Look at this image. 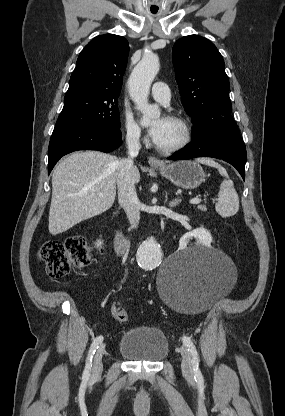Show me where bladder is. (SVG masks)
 Returning a JSON list of instances; mask_svg holds the SVG:
<instances>
[{
	"label": "bladder",
	"mask_w": 285,
	"mask_h": 416,
	"mask_svg": "<svg viewBox=\"0 0 285 416\" xmlns=\"http://www.w3.org/2000/svg\"><path fill=\"white\" fill-rule=\"evenodd\" d=\"M118 352L130 361L156 362L168 354V340L160 329L141 325L123 333Z\"/></svg>",
	"instance_id": "1"
}]
</instances>
